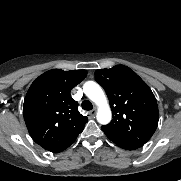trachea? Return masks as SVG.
I'll return each mask as SVG.
<instances>
[{
	"label": "trachea",
	"mask_w": 181,
	"mask_h": 181,
	"mask_svg": "<svg viewBox=\"0 0 181 181\" xmlns=\"http://www.w3.org/2000/svg\"><path fill=\"white\" fill-rule=\"evenodd\" d=\"M82 108H83L84 110L89 111V110H92L93 105H92V103H91L90 101L85 100V101L82 102Z\"/></svg>",
	"instance_id": "trachea-1"
}]
</instances>
